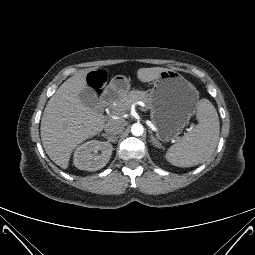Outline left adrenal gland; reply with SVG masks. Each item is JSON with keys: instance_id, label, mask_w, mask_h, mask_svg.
Segmentation results:
<instances>
[{"instance_id": "1", "label": "left adrenal gland", "mask_w": 255, "mask_h": 255, "mask_svg": "<svg viewBox=\"0 0 255 255\" xmlns=\"http://www.w3.org/2000/svg\"><path fill=\"white\" fill-rule=\"evenodd\" d=\"M151 141L155 147H159L158 142L156 141L155 137L153 136L152 132L149 130Z\"/></svg>"}]
</instances>
